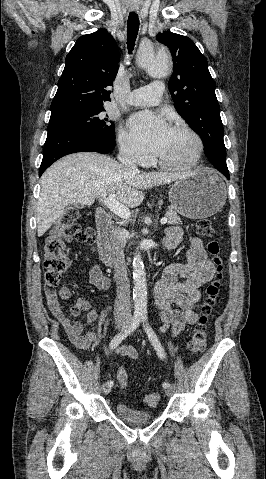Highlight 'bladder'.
Returning <instances> with one entry per match:
<instances>
[{"label":"bladder","mask_w":266,"mask_h":479,"mask_svg":"<svg viewBox=\"0 0 266 479\" xmlns=\"http://www.w3.org/2000/svg\"><path fill=\"white\" fill-rule=\"evenodd\" d=\"M116 410L121 419L129 423H147L154 419L152 412L135 409L128 403L120 402Z\"/></svg>","instance_id":"obj_1"}]
</instances>
